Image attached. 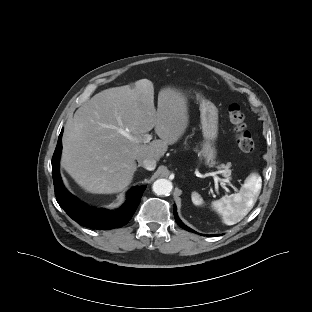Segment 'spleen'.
<instances>
[{
    "label": "spleen",
    "mask_w": 312,
    "mask_h": 312,
    "mask_svg": "<svg viewBox=\"0 0 312 312\" xmlns=\"http://www.w3.org/2000/svg\"><path fill=\"white\" fill-rule=\"evenodd\" d=\"M261 189V177L253 175L246 188L237 194L226 195L216 201L214 207L222 215L226 225H234L241 221L253 208ZM192 201L195 205H201L203 199L196 192L192 193Z\"/></svg>",
    "instance_id": "3e777b00"
}]
</instances>
